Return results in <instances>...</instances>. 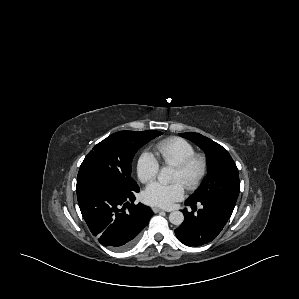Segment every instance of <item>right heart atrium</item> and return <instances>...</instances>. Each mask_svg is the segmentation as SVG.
<instances>
[{
  "mask_svg": "<svg viewBox=\"0 0 299 299\" xmlns=\"http://www.w3.org/2000/svg\"><path fill=\"white\" fill-rule=\"evenodd\" d=\"M158 160L148 151L142 152L136 163V172L139 180L148 183L154 180L159 172Z\"/></svg>",
  "mask_w": 299,
  "mask_h": 299,
  "instance_id": "right-heart-atrium-1",
  "label": "right heart atrium"
}]
</instances>
